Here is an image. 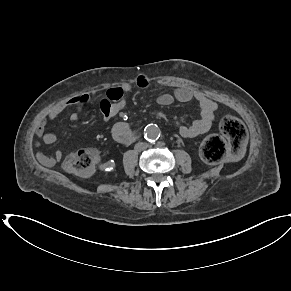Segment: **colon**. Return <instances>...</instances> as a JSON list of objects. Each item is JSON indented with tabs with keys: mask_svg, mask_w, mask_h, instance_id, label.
I'll return each mask as SVG.
<instances>
[{
	"mask_svg": "<svg viewBox=\"0 0 291 291\" xmlns=\"http://www.w3.org/2000/svg\"><path fill=\"white\" fill-rule=\"evenodd\" d=\"M219 128L226 139L219 135H210L201 145V157L208 163L222 162L229 149L235 155L239 154L246 141V129L242 122L233 115H224L219 122ZM98 160V150L88 147L67 155L62 166L71 174L85 177L93 173Z\"/></svg>",
	"mask_w": 291,
	"mask_h": 291,
	"instance_id": "obj_1",
	"label": "colon"
}]
</instances>
